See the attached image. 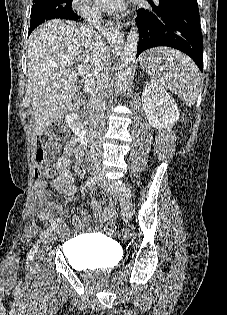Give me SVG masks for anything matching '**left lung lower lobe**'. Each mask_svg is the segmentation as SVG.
<instances>
[{
	"instance_id": "0a47b994",
	"label": "left lung lower lobe",
	"mask_w": 227,
	"mask_h": 315,
	"mask_svg": "<svg viewBox=\"0 0 227 315\" xmlns=\"http://www.w3.org/2000/svg\"><path fill=\"white\" fill-rule=\"evenodd\" d=\"M152 10L140 8L137 56L148 48L169 46L190 56L203 72V38L197 0H159Z\"/></svg>"
}]
</instances>
